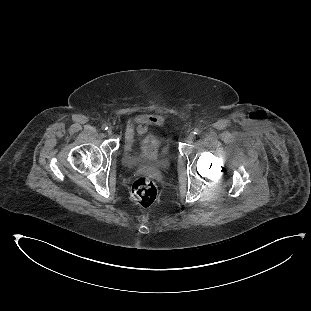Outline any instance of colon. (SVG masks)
Masks as SVG:
<instances>
[{
    "mask_svg": "<svg viewBox=\"0 0 311 311\" xmlns=\"http://www.w3.org/2000/svg\"><path fill=\"white\" fill-rule=\"evenodd\" d=\"M133 201L141 207L151 206L157 198V187L149 177H137L132 184Z\"/></svg>",
    "mask_w": 311,
    "mask_h": 311,
    "instance_id": "obj_1",
    "label": "colon"
}]
</instances>
